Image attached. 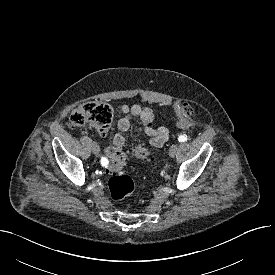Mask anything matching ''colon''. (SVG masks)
<instances>
[{
    "mask_svg": "<svg viewBox=\"0 0 275 275\" xmlns=\"http://www.w3.org/2000/svg\"><path fill=\"white\" fill-rule=\"evenodd\" d=\"M113 108L110 104L101 101H88L77 106L70 114L69 126L72 129L85 124L94 125L99 132L106 133L113 120ZM177 117L176 125L185 130L193 120V108L187 103H180L175 107ZM134 156L138 159L150 161V152L144 146H138L134 150ZM126 159L118 157L111 161L108 167L110 175L108 187L113 201H121L130 196L135 185L132 178L124 173Z\"/></svg>",
    "mask_w": 275,
    "mask_h": 275,
    "instance_id": "colon-1",
    "label": "colon"
}]
</instances>
